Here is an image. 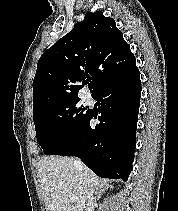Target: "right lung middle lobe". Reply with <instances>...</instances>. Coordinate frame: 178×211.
Wrapping results in <instances>:
<instances>
[{
    "instance_id": "dd1d6c3e",
    "label": "right lung middle lobe",
    "mask_w": 178,
    "mask_h": 211,
    "mask_svg": "<svg viewBox=\"0 0 178 211\" xmlns=\"http://www.w3.org/2000/svg\"><path fill=\"white\" fill-rule=\"evenodd\" d=\"M89 111L79 99L49 105L33 114L37 142L44 154H50L71 139L84 125Z\"/></svg>"
}]
</instances>
